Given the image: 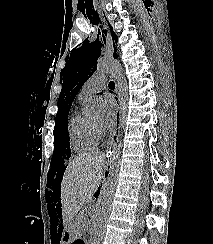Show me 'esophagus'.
Instances as JSON below:
<instances>
[{
    "label": "esophagus",
    "mask_w": 213,
    "mask_h": 244,
    "mask_svg": "<svg viewBox=\"0 0 213 244\" xmlns=\"http://www.w3.org/2000/svg\"><path fill=\"white\" fill-rule=\"evenodd\" d=\"M117 101H118V103L120 102V99L118 96H117ZM120 120H121V109H120V105H117L116 120H115V131H114V134H113L111 140L108 142L107 149H106V156L110 159H111L112 154H113L114 149H115V142L117 139V129H119V127H120Z\"/></svg>",
    "instance_id": "34e87169"
}]
</instances>
